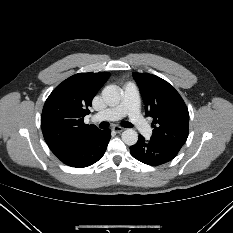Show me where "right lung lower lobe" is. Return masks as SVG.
I'll use <instances>...</instances> for the list:
<instances>
[{
	"label": "right lung lower lobe",
	"instance_id": "obj_1",
	"mask_svg": "<svg viewBox=\"0 0 233 233\" xmlns=\"http://www.w3.org/2000/svg\"><path fill=\"white\" fill-rule=\"evenodd\" d=\"M111 130H98L80 142L74 149L58 157L64 164L83 168L100 160L111 137Z\"/></svg>",
	"mask_w": 233,
	"mask_h": 233
}]
</instances>
